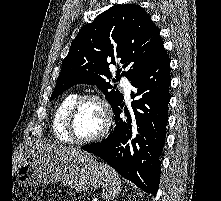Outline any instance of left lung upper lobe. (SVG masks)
Masks as SVG:
<instances>
[{"label":"left lung upper lobe","instance_id":"left-lung-upper-lobe-1","mask_svg":"<svg viewBox=\"0 0 221 201\" xmlns=\"http://www.w3.org/2000/svg\"><path fill=\"white\" fill-rule=\"evenodd\" d=\"M165 54L158 28L139 5L108 9L82 27L71 43L50 100L73 85L96 84L114 110L123 94L109 82V65L119 64L132 83Z\"/></svg>","mask_w":221,"mask_h":201}]
</instances>
